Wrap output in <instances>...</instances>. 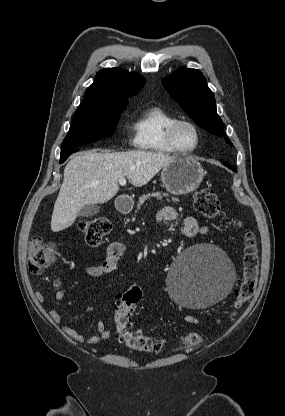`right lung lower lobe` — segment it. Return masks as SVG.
Returning a JSON list of instances; mask_svg holds the SVG:
<instances>
[{
	"instance_id": "right-lung-lower-lobe-1",
	"label": "right lung lower lobe",
	"mask_w": 285,
	"mask_h": 416,
	"mask_svg": "<svg viewBox=\"0 0 285 416\" xmlns=\"http://www.w3.org/2000/svg\"><path fill=\"white\" fill-rule=\"evenodd\" d=\"M77 151L78 149L76 148H68V149L61 150L60 163H63L68 158L69 155Z\"/></svg>"
}]
</instances>
